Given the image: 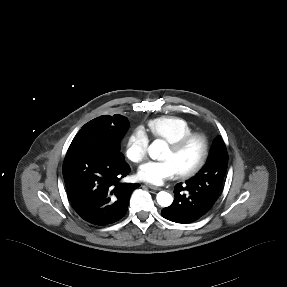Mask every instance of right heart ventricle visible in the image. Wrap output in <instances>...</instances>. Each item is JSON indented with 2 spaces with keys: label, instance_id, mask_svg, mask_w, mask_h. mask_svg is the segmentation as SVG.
I'll list each match as a JSON object with an SVG mask.
<instances>
[{
  "label": "right heart ventricle",
  "instance_id": "1",
  "mask_svg": "<svg viewBox=\"0 0 287 287\" xmlns=\"http://www.w3.org/2000/svg\"><path fill=\"white\" fill-rule=\"evenodd\" d=\"M147 128L154 138L168 144L194 133V128L187 119L173 115L151 119L147 122Z\"/></svg>",
  "mask_w": 287,
  "mask_h": 287
}]
</instances>
